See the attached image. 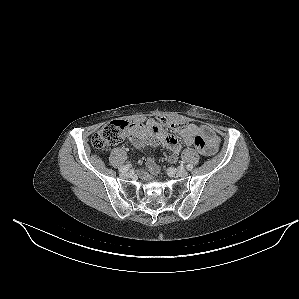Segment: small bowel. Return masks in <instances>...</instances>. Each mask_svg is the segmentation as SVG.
I'll use <instances>...</instances> for the list:
<instances>
[{
	"label": "small bowel",
	"mask_w": 299,
	"mask_h": 299,
	"mask_svg": "<svg viewBox=\"0 0 299 299\" xmlns=\"http://www.w3.org/2000/svg\"><path fill=\"white\" fill-rule=\"evenodd\" d=\"M161 119L151 118L143 124V128H136L130 131L129 140L137 149H144L147 145H163L171 151L169 160L176 161L181 149V143L173 135L164 132ZM178 136L186 146L194 144L197 136L201 135L206 140L209 152L213 154L219 145L218 136L207 126L188 123L177 132ZM146 166L152 173L158 172V166L152 158H147Z\"/></svg>",
	"instance_id": "obj_1"
}]
</instances>
